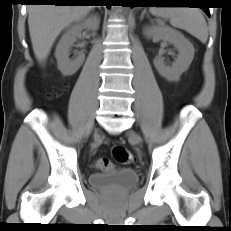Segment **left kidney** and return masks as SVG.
Segmentation results:
<instances>
[{
	"mask_svg": "<svg viewBox=\"0 0 231 231\" xmlns=\"http://www.w3.org/2000/svg\"><path fill=\"white\" fill-rule=\"evenodd\" d=\"M144 35L147 38L164 39L178 50L177 59L171 67L166 66L159 56L154 59L155 68L163 77L168 81H178L194 58L195 49L191 42L182 33L166 25L146 27Z\"/></svg>",
	"mask_w": 231,
	"mask_h": 231,
	"instance_id": "1",
	"label": "left kidney"
}]
</instances>
